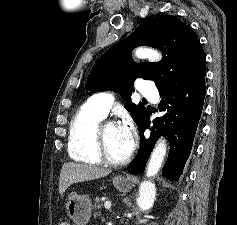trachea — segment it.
I'll use <instances>...</instances> for the list:
<instances>
[{"instance_id": "1", "label": "trachea", "mask_w": 237, "mask_h": 225, "mask_svg": "<svg viewBox=\"0 0 237 225\" xmlns=\"http://www.w3.org/2000/svg\"><path fill=\"white\" fill-rule=\"evenodd\" d=\"M143 102H147L145 99H143Z\"/></svg>"}]
</instances>
